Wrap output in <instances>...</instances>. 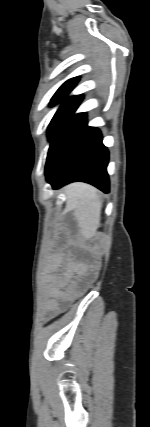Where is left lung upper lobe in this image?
Returning a JSON list of instances; mask_svg holds the SVG:
<instances>
[{"label":"left lung upper lobe","mask_w":150,"mask_h":427,"mask_svg":"<svg viewBox=\"0 0 150 427\" xmlns=\"http://www.w3.org/2000/svg\"><path fill=\"white\" fill-rule=\"evenodd\" d=\"M79 78L75 77L68 81H66L55 93V95L51 99V103L55 104L59 102L60 100L64 99L69 92L75 87L76 83L78 82ZM80 96H73L68 98L64 101V103L61 105V107L58 109L57 113L65 109L67 106H69L72 102H74L77 98ZM56 113V114H57Z\"/></svg>","instance_id":"obj_1"}]
</instances>
